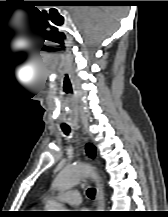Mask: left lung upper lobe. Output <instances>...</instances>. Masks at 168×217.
Listing matches in <instances>:
<instances>
[{"mask_svg": "<svg viewBox=\"0 0 168 217\" xmlns=\"http://www.w3.org/2000/svg\"><path fill=\"white\" fill-rule=\"evenodd\" d=\"M86 152L89 154L91 157H93L96 153L95 147L92 144H87L86 146Z\"/></svg>", "mask_w": 168, "mask_h": 217, "instance_id": "1", "label": "left lung upper lobe"}]
</instances>
